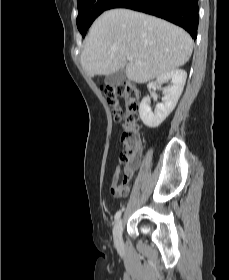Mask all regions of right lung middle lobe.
Wrapping results in <instances>:
<instances>
[{"label": "right lung middle lobe", "mask_w": 229, "mask_h": 280, "mask_svg": "<svg viewBox=\"0 0 229 280\" xmlns=\"http://www.w3.org/2000/svg\"><path fill=\"white\" fill-rule=\"evenodd\" d=\"M114 0H77L78 17L77 27L84 37L92 22L105 10Z\"/></svg>", "instance_id": "right-lung-middle-lobe-1"}]
</instances>
